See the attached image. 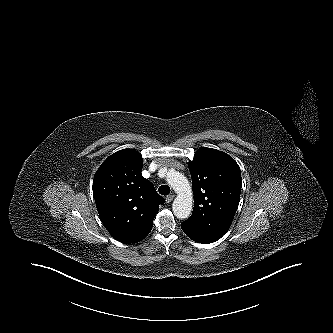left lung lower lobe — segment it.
<instances>
[{"label": "left lung lower lobe", "instance_id": "0a47b994", "mask_svg": "<svg viewBox=\"0 0 333 333\" xmlns=\"http://www.w3.org/2000/svg\"><path fill=\"white\" fill-rule=\"evenodd\" d=\"M181 228L184 231V233L193 241H196L198 243H212L217 241L219 238H216L212 235L206 234L204 232H201L191 226H188L184 223H181Z\"/></svg>", "mask_w": 333, "mask_h": 333}]
</instances>
